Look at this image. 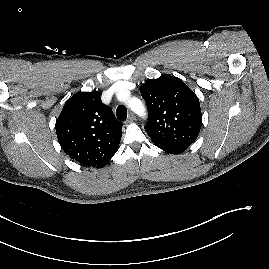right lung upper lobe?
<instances>
[{"label": "right lung upper lobe", "instance_id": "right-lung-upper-lobe-1", "mask_svg": "<svg viewBox=\"0 0 269 269\" xmlns=\"http://www.w3.org/2000/svg\"><path fill=\"white\" fill-rule=\"evenodd\" d=\"M61 148L87 167H104L116 153L122 123L101 102L97 91L79 92L68 99L56 121Z\"/></svg>", "mask_w": 269, "mask_h": 269}]
</instances>
